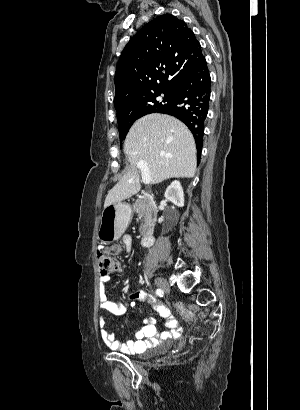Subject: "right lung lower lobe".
<instances>
[{"label": "right lung lower lobe", "instance_id": "obj_1", "mask_svg": "<svg viewBox=\"0 0 300 410\" xmlns=\"http://www.w3.org/2000/svg\"><path fill=\"white\" fill-rule=\"evenodd\" d=\"M210 87L209 71L203 58L178 80L173 92V101L157 111L175 116L188 126L196 141L198 160L203 145Z\"/></svg>", "mask_w": 300, "mask_h": 410}]
</instances>
